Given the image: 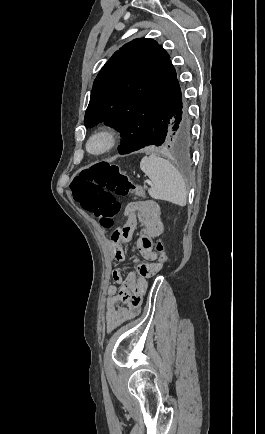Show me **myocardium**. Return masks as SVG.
I'll return each instance as SVG.
<instances>
[{"label": "myocardium", "mask_w": 265, "mask_h": 434, "mask_svg": "<svg viewBox=\"0 0 265 434\" xmlns=\"http://www.w3.org/2000/svg\"><path fill=\"white\" fill-rule=\"evenodd\" d=\"M117 139L115 128L111 126L102 127L87 137L83 144V151L91 158H102L114 149Z\"/></svg>", "instance_id": "myocardium-1"}]
</instances>
